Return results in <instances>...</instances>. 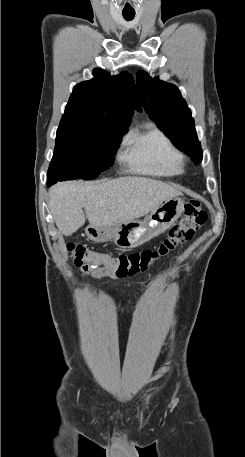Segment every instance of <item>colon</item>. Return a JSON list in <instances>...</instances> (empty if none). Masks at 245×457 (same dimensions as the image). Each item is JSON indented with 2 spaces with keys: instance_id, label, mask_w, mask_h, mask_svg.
<instances>
[{
  "instance_id": "colon-1",
  "label": "colon",
  "mask_w": 245,
  "mask_h": 457,
  "mask_svg": "<svg viewBox=\"0 0 245 457\" xmlns=\"http://www.w3.org/2000/svg\"><path fill=\"white\" fill-rule=\"evenodd\" d=\"M206 219L205 210L195 199L185 204L183 217L171 227L167 238L156 248L119 256L94 252L83 244L75 243L68 244L67 250L74 264L80 268H109L118 278L131 277L148 271L158 260L190 239Z\"/></svg>"
}]
</instances>
